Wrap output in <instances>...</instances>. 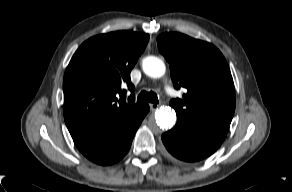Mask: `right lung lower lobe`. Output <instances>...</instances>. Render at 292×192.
<instances>
[{
  "label": "right lung lower lobe",
  "mask_w": 292,
  "mask_h": 192,
  "mask_svg": "<svg viewBox=\"0 0 292 192\" xmlns=\"http://www.w3.org/2000/svg\"><path fill=\"white\" fill-rule=\"evenodd\" d=\"M149 111L148 105L134 115L112 124L73 128L69 132L79 151L94 163L110 165L122 159L128 152L134 134Z\"/></svg>",
  "instance_id": "right-lung-lower-lobe-1"
}]
</instances>
